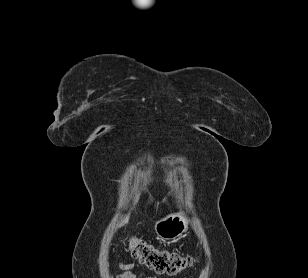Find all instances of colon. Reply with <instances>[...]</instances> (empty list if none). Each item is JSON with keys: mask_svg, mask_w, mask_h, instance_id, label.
<instances>
[{"mask_svg": "<svg viewBox=\"0 0 308 278\" xmlns=\"http://www.w3.org/2000/svg\"><path fill=\"white\" fill-rule=\"evenodd\" d=\"M129 250L134 258L159 274H177L191 263L187 256L157 248L139 238L129 240Z\"/></svg>", "mask_w": 308, "mask_h": 278, "instance_id": "obj_1", "label": "colon"}]
</instances>
